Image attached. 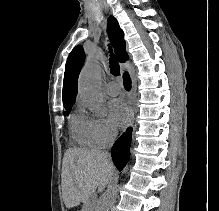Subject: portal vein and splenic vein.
<instances>
[{
	"mask_svg": "<svg viewBox=\"0 0 219 211\" xmlns=\"http://www.w3.org/2000/svg\"><path fill=\"white\" fill-rule=\"evenodd\" d=\"M93 203H100V201H98V199H92Z\"/></svg>",
	"mask_w": 219,
	"mask_h": 211,
	"instance_id": "18ae733b",
	"label": "portal vein and splenic vein"
}]
</instances>
